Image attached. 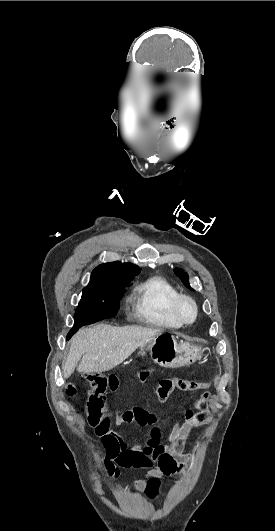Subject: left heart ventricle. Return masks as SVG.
Listing matches in <instances>:
<instances>
[{
	"mask_svg": "<svg viewBox=\"0 0 275 531\" xmlns=\"http://www.w3.org/2000/svg\"><path fill=\"white\" fill-rule=\"evenodd\" d=\"M178 311H179L180 316L187 320L191 319L194 316V307L187 300H182L179 303Z\"/></svg>",
	"mask_w": 275,
	"mask_h": 531,
	"instance_id": "b2bd125f",
	"label": "left heart ventricle"
}]
</instances>
